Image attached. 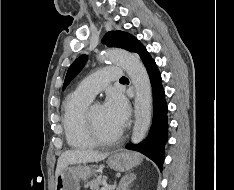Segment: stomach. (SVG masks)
<instances>
[{"mask_svg":"<svg viewBox=\"0 0 234 190\" xmlns=\"http://www.w3.org/2000/svg\"><path fill=\"white\" fill-rule=\"evenodd\" d=\"M140 155L129 152L113 153L108 159L111 169L124 172L141 163ZM94 173L92 167L86 164L76 166H66L57 175L55 180V190H80V181L87 180Z\"/></svg>","mask_w":234,"mask_h":190,"instance_id":"obj_1","label":"stomach"}]
</instances>
